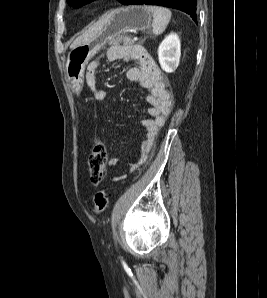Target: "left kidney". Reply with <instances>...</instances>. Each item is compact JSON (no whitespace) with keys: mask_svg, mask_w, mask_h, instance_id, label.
<instances>
[{"mask_svg":"<svg viewBox=\"0 0 267 298\" xmlns=\"http://www.w3.org/2000/svg\"><path fill=\"white\" fill-rule=\"evenodd\" d=\"M181 44L176 33H171L165 37L158 48V58L161 68L167 72H174L180 61Z\"/></svg>","mask_w":267,"mask_h":298,"instance_id":"obj_1","label":"left kidney"}]
</instances>
